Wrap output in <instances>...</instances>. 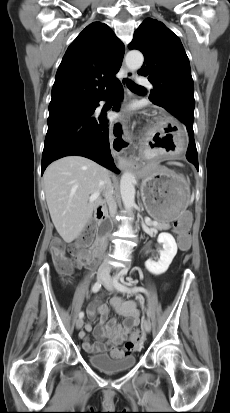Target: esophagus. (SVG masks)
Returning a JSON list of instances; mask_svg holds the SVG:
<instances>
[{"label":"esophagus","mask_w":230,"mask_h":413,"mask_svg":"<svg viewBox=\"0 0 230 413\" xmlns=\"http://www.w3.org/2000/svg\"><path fill=\"white\" fill-rule=\"evenodd\" d=\"M134 78V73L131 71V70H129V69H127L126 67H125V76H124V78L121 80V83H122V85L124 86V89H125V91L127 92L128 90H127V80L128 79H133ZM124 134H126V132L124 133ZM123 147H125V146H122L121 148H123ZM120 148V149H121ZM124 149V148H123ZM118 166H119V168L120 169H125V168H127L128 166H129V164H130V162H129V160H127V159H125V158H123V157H118Z\"/></svg>","instance_id":"34e87169"}]
</instances>
